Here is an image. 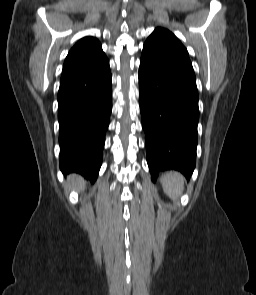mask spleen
I'll use <instances>...</instances> for the list:
<instances>
[{
	"mask_svg": "<svg viewBox=\"0 0 256 295\" xmlns=\"http://www.w3.org/2000/svg\"><path fill=\"white\" fill-rule=\"evenodd\" d=\"M164 192L173 200H177L182 193L184 178L177 172H167L162 176Z\"/></svg>",
	"mask_w": 256,
	"mask_h": 295,
	"instance_id": "3e777b00",
	"label": "spleen"
}]
</instances>
